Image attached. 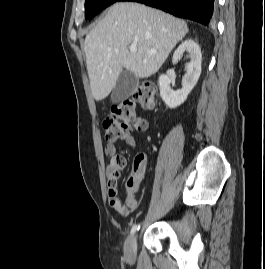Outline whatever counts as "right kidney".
<instances>
[{
  "mask_svg": "<svg viewBox=\"0 0 265 269\" xmlns=\"http://www.w3.org/2000/svg\"><path fill=\"white\" fill-rule=\"evenodd\" d=\"M185 52L188 53L190 61L186 64V74L182 79V89L172 90L170 88V78L165 74L159 77L160 96L169 108H176L184 103L201 74V50L199 45L192 39H187L179 45L173 54L172 62H178Z\"/></svg>",
  "mask_w": 265,
  "mask_h": 269,
  "instance_id": "ca27d5eb",
  "label": "right kidney"
}]
</instances>
